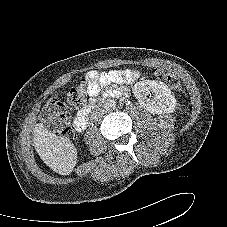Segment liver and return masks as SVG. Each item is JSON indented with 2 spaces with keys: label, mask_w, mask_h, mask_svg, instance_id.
I'll return each instance as SVG.
<instances>
[{
  "label": "liver",
  "mask_w": 227,
  "mask_h": 227,
  "mask_svg": "<svg viewBox=\"0 0 227 227\" xmlns=\"http://www.w3.org/2000/svg\"><path fill=\"white\" fill-rule=\"evenodd\" d=\"M33 142L39 157L54 172L69 175L73 171L77 163V150L67 138L56 136L43 123H37Z\"/></svg>",
  "instance_id": "1"
}]
</instances>
